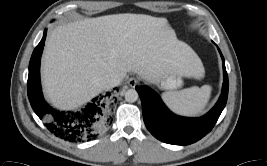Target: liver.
Listing matches in <instances>:
<instances>
[{
  "instance_id": "1",
  "label": "liver",
  "mask_w": 267,
  "mask_h": 166,
  "mask_svg": "<svg viewBox=\"0 0 267 166\" xmlns=\"http://www.w3.org/2000/svg\"><path fill=\"white\" fill-rule=\"evenodd\" d=\"M152 80L164 73L201 79L196 53L175 39L165 18L114 14L57 26L46 41L42 78L47 98L71 109L101 91L108 74Z\"/></svg>"
}]
</instances>
